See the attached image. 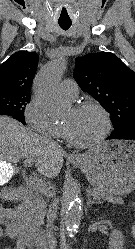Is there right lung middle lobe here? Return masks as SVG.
<instances>
[{"mask_svg": "<svg viewBox=\"0 0 135 249\" xmlns=\"http://www.w3.org/2000/svg\"><path fill=\"white\" fill-rule=\"evenodd\" d=\"M30 102V94L15 92H0V114L10 115L22 120L24 124V110Z\"/></svg>", "mask_w": 135, "mask_h": 249, "instance_id": "obj_1", "label": "right lung middle lobe"}]
</instances>
